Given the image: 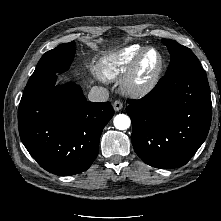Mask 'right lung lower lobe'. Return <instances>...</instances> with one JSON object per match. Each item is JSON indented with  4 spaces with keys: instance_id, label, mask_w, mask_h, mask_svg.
Returning <instances> with one entry per match:
<instances>
[{
    "instance_id": "obj_1",
    "label": "right lung lower lobe",
    "mask_w": 221,
    "mask_h": 221,
    "mask_svg": "<svg viewBox=\"0 0 221 221\" xmlns=\"http://www.w3.org/2000/svg\"><path fill=\"white\" fill-rule=\"evenodd\" d=\"M57 73L30 77L18 109V126L24 146L42 168L69 176L91 166L114 111L110 102L87 101L75 83L56 86Z\"/></svg>"
}]
</instances>
